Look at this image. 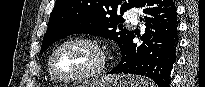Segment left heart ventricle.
Wrapping results in <instances>:
<instances>
[{"label": "left heart ventricle", "mask_w": 205, "mask_h": 87, "mask_svg": "<svg viewBox=\"0 0 205 87\" xmlns=\"http://www.w3.org/2000/svg\"><path fill=\"white\" fill-rule=\"evenodd\" d=\"M98 61L99 56L91 46L75 43L63 47L57 53L54 67L61 76H74L91 71Z\"/></svg>", "instance_id": "obj_1"}]
</instances>
